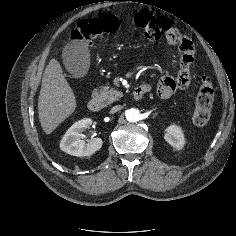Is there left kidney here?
I'll return each mask as SVG.
<instances>
[{
  "label": "left kidney",
  "instance_id": "1",
  "mask_svg": "<svg viewBox=\"0 0 236 236\" xmlns=\"http://www.w3.org/2000/svg\"><path fill=\"white\" fill-rule=\"evenodd\" d=\"M164 139L176 149H182L185 144L183 131L176 125H171L165 130Z\"/></svg>",
  "mask_w": 236,
  "mask_h": 236
}]
</instances>
